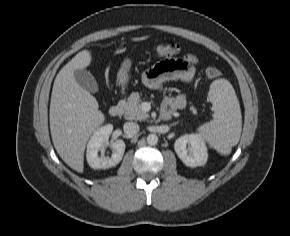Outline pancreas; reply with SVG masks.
Listing matches in <instances>:
<instances>
[{"mask_svg": "<svg viewBox=\"0 0 290 236\" xmlns=\"http://www.w3.org/2000/svg\"><path fill=\"white\" fill-rule=\"evenodd\" d=\"M141 98L136 92L130 94L127 101H121L120 105L123 107L124 117L127 120H144L149 117V114L141 108ZM193 114H197V110L194 106L190 107Z\"/></svg>", "mask_w": 290, "mask_h": 236, "instance_id": "obj_1", "label": "pancreas"}]
</instances>
